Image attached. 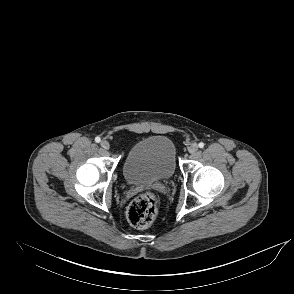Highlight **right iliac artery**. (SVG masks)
Listing matches in <instances>:
<instances>
[{
  "label": "right iliac artery",
  "mask_w": 294,
  "mask_h": 294,
  "mask_svg": "<svg viewBox=\"0 0 294 294\" xmlns=\"http://www.w3.org/2000/svg\"><path fill=\"white\" fill-rule=\"evenodd\" d=\"M101 141V138L100 137H96L95 138V142L99 143Z\"/></svg>",
  "instance_id": "right-iliac-artery-1"
}]
</instances>
